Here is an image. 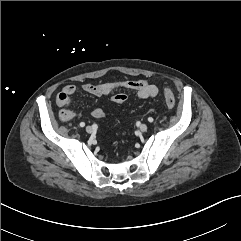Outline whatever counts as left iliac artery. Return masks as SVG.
Returning <instances> with one entry per match:
<instances>
[{
    "mask_svg": "<svg viewBox=\"0 0 241 241\" xmlns=\"http://www.w3.org/2000/svg\"><path fill=\"white\" fill-rule=\"evenodd\" d=\"M148 121H149L150 123H152V122L154 121V119H153L152 117H149V118H148Z\"/></svg>",
    "mask_w": 241,
    "mask_h": 241,
    "instance_id": "left-iliac-artery-1",
    "label": "left iliac artery"
}]
</instances>
